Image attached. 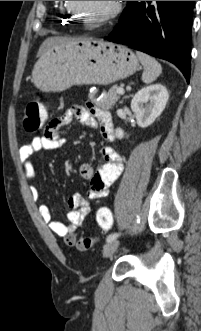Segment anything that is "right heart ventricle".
Listing matches in <instances>:
<instances>
[{
    "label": "right heart ventricle",
    "instance_id": "right-heart-ventricle-1",
    "mask_svg": "<svg viewBox=\"0 0 201 331\" xmlns=\"http://www.w3.org/2000/svg\"><path fill=\"white\" fill-rule=\"evenodd\" d=\"M60 11L63 13V16L69 20V21H72L74 20V14L72 11H70L68 8H67V1H62V5L60 7Z\"/></svg>",
    "mask_w": 201,
    "mask_h": 331
}]
</instances>
